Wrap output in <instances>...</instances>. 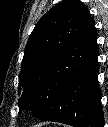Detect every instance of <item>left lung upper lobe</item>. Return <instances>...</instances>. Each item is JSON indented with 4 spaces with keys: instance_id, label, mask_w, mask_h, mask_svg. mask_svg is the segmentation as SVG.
I'll use <instances>...</instances> for the list:
<instances>
[{
    "instance_id": "1",
    "label": "left lung upper lobe",
    "mask_w": 108,
    "mask_h": 127,
    "mask_svg": "<svg viewBox=\"0 0 108 127\" xmlns=\"http://www.w3.org/2000/svg\"><path fill=\"white\" fill-rule=\"evenodd\" d=\"M87 7L80 0L53 6L36 24L25 47L19 75L20 110L41 112L54 98L65 70L63 58L78 35Z\"/></svg>"
}]
</instances>
